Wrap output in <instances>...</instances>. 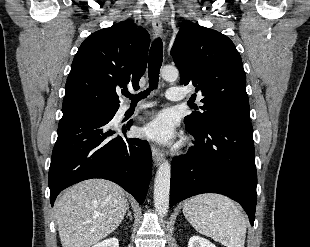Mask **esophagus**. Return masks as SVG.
Segmentation results:
<instances>
[{
    "label": "esophagus",
    "mask_w": 310,
    "mask_h": 247,
    "mask_svg": "<svg viewBox=\"0 0 310 247\" xmlns=\"http://www.w3.org/2000/svg\"><path fill=\"white\" fill-rule=\"evenodd\" d=\"M153 31L156 36L161 37L163 34V26L158 17H155L152 21ZM153 161L156 165H159L163 159V153L155 145L151 146Z\"/></svg>",
    "instance_id": "esophagus-1"
}]
</instances>
